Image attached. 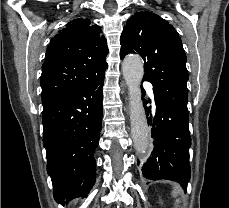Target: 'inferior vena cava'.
<instances>
[{
  "label": "inferior vena cava",
  "mask_w": 229,
  "mask_h": 208,
  "mask_svg": "<svg viewBox=\"0 0 229 208\" xmlns=\"http://www.w3.org/2000/svg\"><path fill=\"white\" fill-rule=\"evenodd\" d=\"M135 130H138V126H132V132L134 134Z\"/></svg>",
  "instance_id": "602c4592"
}]
</instances>
